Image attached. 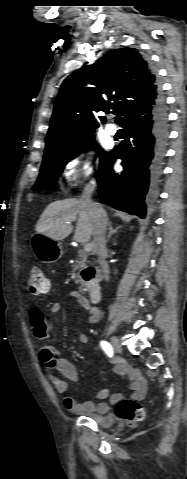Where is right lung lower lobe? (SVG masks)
Returning <instances> with one entry per match:
<instances>
[{
  "label": "right lung lower lobe",
  "instance_id": "right-lung-lower-lobe-1",
  "mask_svg": "<svg viewBox=\"0 0 187 479\" xmlns=\"http://www.w3.org/2000/svg\"><path fill=\"white\" fill-rule=\"evenodd\" d=\"M125 140L108 155L95 175L99 196L110 206L144 218L146 204L156 197L157 181L168 140V114L162 94L151 105L138 107L120 123ZM115 158L124 171L112 169Z\"/></svg>",
  "mask_w": 187,
  "mask_h": 479
}]
</instances>
